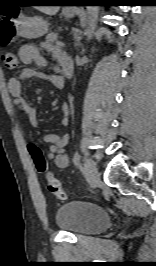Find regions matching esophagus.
<instances>
[{
	"label": "esophagus",
	"mask_w": 156,
	"mask_h": 266,
	"mask_svg": "<svg viewBox=\"0 0 156 266\" xmlns=\"http://www.w3.org/2000/svg\"><path fill=\"white\" fill-rule=\"evenodd\" d=\"M74 10H78V8H73Z\"/></svg>",
	"instance_id": "esophagus-1"
}]
</instances>
